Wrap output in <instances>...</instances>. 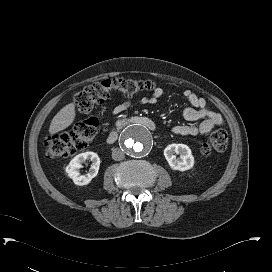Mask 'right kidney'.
<instances>
[{"label": "right kidney", "mask_w": 272, "mask_h": 272, "mask_svg": "<svg viewBox=\"0 0 272 272\" xmlns=\"http://www.w3.org/2000/svg\"><path fill=\"white\" fill-rule=\"evenodd\" d=\"M86 160H90L92 165L87 174L81 175L79 169L82 167V163ZM99 166L100 158L97 153L84 152L76 155L66 166L65 171L76 185L83 186L89 184L90 181L98 174Z\"/></svg>", "instance_id": "ca27d5eb"}]
</instances>
